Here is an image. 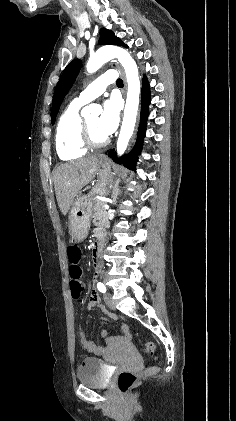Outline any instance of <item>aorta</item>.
<instances>
[{"label": "aorta", "mask_w": 236, "mask_h": 421, "mask_svg": "<svg viewBox=\"0 0 236 421\" xmlns=\"http://www.w3.org/2000/svg\"><path fill=\"white\" fill-rule=\"evenodd\" d=\"M111 58H118L119 62H121L125 70L128 84L124 116L120 134L117 140V152L118 154H123L133 134L136 122L137 110L139 106L140 78L138 66L134 58L130 56L129 52H127L125 48H120V46H112V44L101 46V48H98L94 54H90L86 68L88 72H96L98 68H101V66H103L105 62H108V60H111Z\"/></svg>", "instance_id": "1"}]
</instances>
